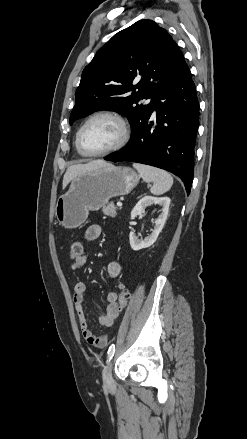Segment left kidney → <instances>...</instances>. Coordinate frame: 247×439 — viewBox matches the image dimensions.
I'll return each instance as SVG.
<instances>
[{
    "mask_svg": "<svg viewBox=\"0 0 247 439\" xmlns=\"http://www.w3.org/2000/svg\"><path fill=\"white\" fill-rule=\"evenodd\" d=\"M152 204L155 205L159 204L162 207V212L159 215L158 219L155 221V226L150 236H147L145 239H139L134 232H130L129 234L130 246L135 251L150 247L152 244H154L166 222L168 211H169V205H170L169 197H159V198L153 196L143 197L133 208L131 212V219H134L138 215L144 214L145 208Z\"/></svg>",
    "mask_w": 247,
    "mask_h": 439,
    "instance_id": "1",
    "label": "left kidney"
}]
</instances>
